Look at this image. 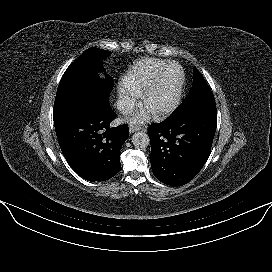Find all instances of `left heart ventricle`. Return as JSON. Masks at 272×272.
Segmentation results:
<instances>
[{
	"mask_svg": "<svg viewBox=\"0 0 272 272\" xmlns=\"http://www.w3.org/2000/svg\"><path fill=\"white\" fill-rule=\"evenodd\" d=\"M180 79V71L177 67H171L165 74L160 85L151 94L146 106L156 112L168 106L174 99L176 88Z\"/></svg>",
	"mask_w": 272,
	"mask_h": 272,
	"instance_id": "left-heart-ventricle-1",
	"label": "left heart ventricle"
}]
</instances>
